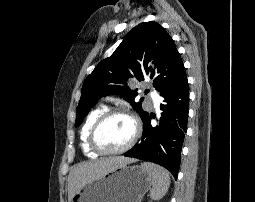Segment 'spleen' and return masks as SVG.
Segmentation results:
<instances>
[{
  "label": "spleen",
  "mask_w": 255,
  "mask_h": 202,
  "mask_svg": "<svg viewBox=\"0 0 255 202\" xmlns=\"http://www.w3.org/2000/svg\"><path fill=\"white\" fill-rule=\"evenodd\" d=\"M141 168L149 174L152 180L151 199H161L167 193L170 185L168 171L158 165L146 162L141 164Z\"/></svg>",
  "instance_id": "3e777b00"
}]
</instances>
